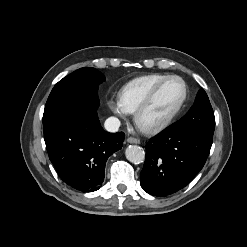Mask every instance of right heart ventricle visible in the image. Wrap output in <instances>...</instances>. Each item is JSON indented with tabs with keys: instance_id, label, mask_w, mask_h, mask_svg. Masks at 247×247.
Wrapping results in <instances>:
<instances>
[{
	"instance_id": "right-heart-ventricle-1",
	"label": "right heart ventricle",
	"mask_w": 247,
	"mask_h": 247,
	"mask_svg": "<svg viewBox=\"0 0 247 247\" xmlns=\"http://www.w3.org/2000/svg\"><path fill=\"white\" fill-rule=\"evenodd\" d=\"M168 75L149 74L127 82L119 92V101L127 113H135L149 92Z\"/></svg>"
}]
</instances>
